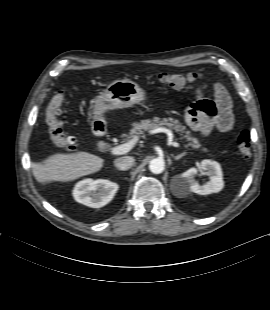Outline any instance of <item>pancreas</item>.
Masks as SVG:
<instances>
[{
    "label": "pancreas",
    "mask_w": 270,
    "mask_h": 310,
    "mask_svg": "<svg viewBox=\"0 0 270 310\" xmlns=\"http://www.w3.org/2000/svg\"><path fill=\"white\" fill-rule=\"evenodd\" d=\"M133 128L130 131V137L135 135H142L145 131H151L160 127H166L171 131H175L180 134L181 139L188 141L184 146L186 148L191 147L192 149H201L203 152H208L207 148H203L202 144L198 141L197 138L191 136V132L186 130V127L183 126L177 119L173 118H163L154 117L152 120H142L140 123H133Z\"/></svg>",
    "instance_id": "obj_1"
}]
</instances>
